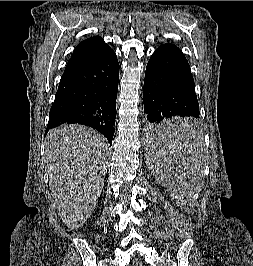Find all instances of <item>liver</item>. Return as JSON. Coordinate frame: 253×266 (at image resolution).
I'll use <instances>...</instances> for the list:
<instances>
[{
    "instance_id": "6515ba94",
    "label": "liver",
    "mask_w": 253,
    "mask_h": 266,
    "mask_svg": "<svg viewBox=\"0 0 253 266\" xmlns=\"http://www.w3.org/2000/svg\"><path fill=\"white\" fill-rule=\"evenodd\" d=\"M45 145L49 186L58 213L67 227L78 229L101 195L109 144L96 130L71 124L49 131Z\"/></svg>"
}]
</instances>
